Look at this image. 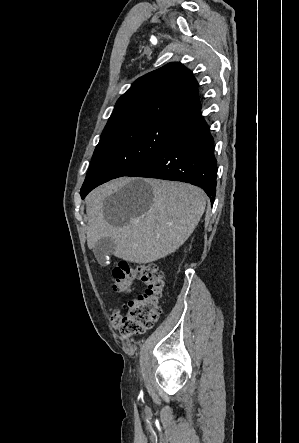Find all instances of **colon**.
<instances>
[{"mask_svg":"<svg viewBox=\"0 0 299 443\" xmlns=\"http://www.w3.org/2000/svg\"><path fill=\"white\" fill-rule=\"evenodd\" d=\"M136 281L146 285L143 294L129 301L121 320V332L125 337L134 336L150 329L159 319L162 308L160 301L165 288V278L155 263L133 265L121 261L112 270V287L121 294L133 291Z\"/></svg>","mask_w":299,"mask_h":443,"instance_id":"obj_1","label":"colon"}]
</instances>
